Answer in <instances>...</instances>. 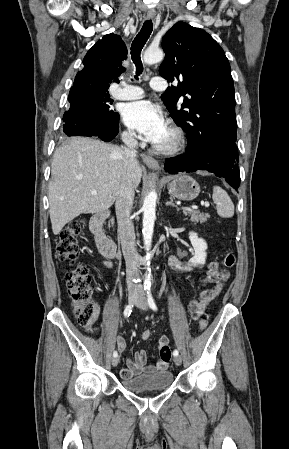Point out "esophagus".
Returning <instances> with one entry per match:
<instances>
[{"label":"esophagus","mask_w":289,"mask_h":449,"mask_svg":"<svg viewBox=\"0 0 289 449\" xmlns=\"http://www.w3.org/2000/svg\"><path fill=\"white\" fill-rule=\"evenodd\" d=\"M156 16V14L154 12H148L147 14V18L148 19H154ZM141 158L143 160V162L150 168L154 169V170H159V163L157 162V160H155L153 157H151L148 154H141Z\"/></svg>","instance_id":"obj_1"}]
</instances>
